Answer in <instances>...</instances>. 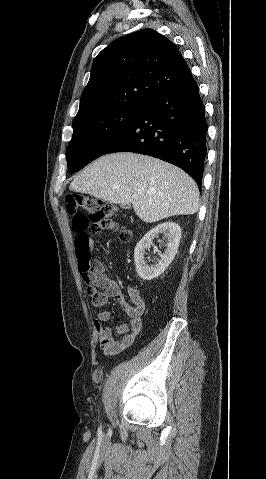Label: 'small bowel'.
<instances>
[{
  "label": "small bowel",
  "instance_id": "1",
  "mask_svg": "<svg viewBox=\"0 0 266 479\" xmlns=\"http://www.w3.org/2000/svg\"><path fill=\"white\" fill-rule=\"evenodd\" d=\"M94 284L97 287V295L92 299L94 307H102L109 298H113L127 316V321L116 328L104 325L111 318L106 310H99L94 321L101 350L105 355H115L131 346L140 333L146 310L145 299L136 288L129 287L128 294L132 302L130 305L122 294L119 284L105 274L104 266L100 261L94 264ZM115 334H118L120 338L116 339Z\"/></svg>",
  "mask_w": 266,
  "mask_h": 479
}]
</instances>
